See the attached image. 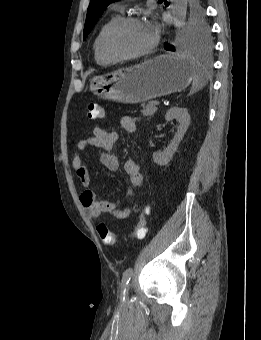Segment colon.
<instances>
[{
    "instance_id": "obj_1",
    "label": "colon",
    "mask_w": 261,
    "mask_h": 340,
    "mask_svg": "<svg viewBox=\"0 0 261 340\" xmlns=\"http://www.w3.org/2000/svg\"><path fill=\"white\" fill-rule=\"evenodd\" d=\"M105 113V109L98 104L92 103L88 106V116L91 119L102 118L105 116ZM135 211L138 213V220L136 224L132 227L130 234L125 236L124 239H142L146 235L145 215L148 212V206H136ZM96 229L100 239L105 245H113L119 239V237L115 235L112 231H110L108 227L103 223L98 224Z\"/></svg>"
}]
</instances>
